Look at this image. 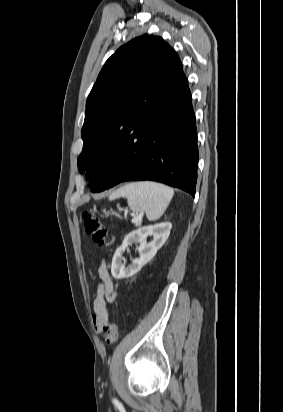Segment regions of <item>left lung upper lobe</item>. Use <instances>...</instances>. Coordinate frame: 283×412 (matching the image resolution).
<instances>
[{
  "mask_svg": "<svg viewBox=\"0 0 283 412\" xmlns=\"http://www.w3.org/2000/svg\"><path fill=\"white\" fill-rule=\"evenodd\" d=\"M186 80L176 52L160 37H137L106 61L86 102L78 157L92 192L112 152L140 149Z\"/></svg>",
  "mask_w": 283,
  "mask_h": 412,
  "instance_id": "obj_1",
  "label": "left lung upper lobe"
}]
</instances>
